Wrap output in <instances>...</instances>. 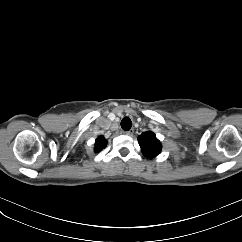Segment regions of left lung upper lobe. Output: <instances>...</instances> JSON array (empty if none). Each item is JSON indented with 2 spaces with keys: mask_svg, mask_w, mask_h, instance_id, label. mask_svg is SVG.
I'll list each match as a JSON object with an SVG mask.
<instances>
[{
  "mask_svg": "<svg viewBox=\"0 0 242 242\" xmlns=\"http://www.w3.org/2000/svg\"><path fill=\"white\" fill-rule=\"evenodd\" d=\"M138 142L145 157L154 158L161 152V143L151 131L139 135Z\"/></svg>",
  "mask_w": 242,
  "mask_h": 242,
  "instance_id": "5c2ea615",
  "label": "left lung upper lobe"
}]
</instances>
